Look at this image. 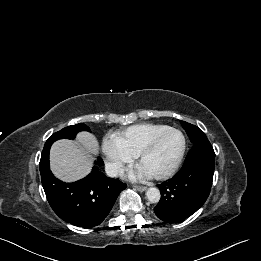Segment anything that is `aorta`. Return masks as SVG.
I'll list each match as a JSON object with an SVG mask.
<instances>
[{
    "instance_id": "1",
    "label": "aorta",
    "mask_w": 261,
    "mask_h": 261,
    "mask_svg": "<svg viewBox=\"0 0 261 261\" xmlns=\"http://www.w3.org/2000/svg\"><path fill=\"white\" fill-rule=\"evenodd\" d=\"M146 198L148 199V201H150L151 203H157L159 202L160 198H161V194L158 188L156 187H150L147 189L146 191Z\"/></svg>"
}]
</instances>
